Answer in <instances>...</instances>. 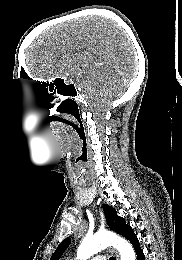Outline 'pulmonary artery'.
<instances>
[{"mask_svg":"<svg viewBox=\"0 0 182 260\" xmlns=\"http://www.w3.org/2000/svg\"><path fill=\"white\" fill-rule=\"evenodd\" d=\"M91 260H106V258L102 255H97V256L93 257Z\"/></svg>","mask_w":182,"mask_h":260,"instance_id":"obj_1","label":"pulmonary artery"}]
</instances>
